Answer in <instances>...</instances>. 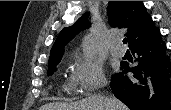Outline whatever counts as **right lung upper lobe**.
<instances>
[{"label":"right lung upper lobe","instance_id":"right-lung-upper-lobe-1","mask_svg":"<svg viewBox=\"0 0 171 110\" xmlns=\"http://www.w3.org/2000/svg\"><path fill=\"white\" fill-rule=\"evenodd\" d=\"M107 13L113 27L128 29L126 36L129 39V48L160 32L154 26L142 1H109ZM88 26L87 13H85L74 25L62 29L51 49L49 59L63 55V48L67 43Z\"/></svg>","mask_w":171,"mask_h":110}]
</instances>
